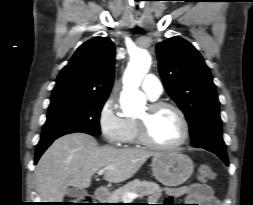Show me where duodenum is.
Instances as JSON below:
<instances>
[{
	"label": "duodenum",
	"instance_id": "410a0bca",
	"mask_svg": "<svg viewBox=\"0 0 253 205\" xmlns=\"http://www.w3.org/2000/svg\"><path fill=\"white\" fill-rule=\"evenodd\" d=\"M94 196L97 201L103 202L107 200L109 196V191L104 187H100L96 189Z\"/></svg>",
	"mask_w": 253,
	"mask_h": 205
}]
</instances>
